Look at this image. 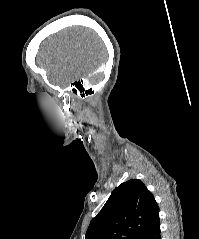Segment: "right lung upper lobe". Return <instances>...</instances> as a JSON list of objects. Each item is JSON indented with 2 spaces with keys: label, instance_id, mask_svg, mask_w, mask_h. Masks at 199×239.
I'll return each instance as SVG.
<instances>
[{
  "label": "right lung upper lobe",
  "instance_id": "obj_1",
  "mask_svg": "<svg viewBox=\"0 0 199 239\" xmlns=\"http://www.w3.org/2000/svg\"><path fill=\"white\" fill-rule=\"evenodd\" d=\"M158 218L154 196L140 180L131 179L113 190L85 239H138Z\"/></svg>",
  "mask_w": 199,
  "mask_h": 239
}]
</instances>
